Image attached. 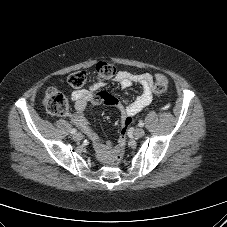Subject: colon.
I'll return each mask as SVG.
<instances>
[{
    "label": "colon",
    "instance_id": "obj_1",
    "mask_svg": "<svg viewBox=\"0 0 227 227\" xmlns=\"http://www.w3.org/2000/svg\"><path fill=\"white\" fill-rule=\"evenodd\" d=\"M116 68L114 65L108 62H99L96 65L95 76L97 81L103 82L115 77ZM87 76L84 71H77L69 76V84L75 88L79 89L83 87L86 83ZM168 88V80L162 74H157L155 76V83L153 86V92L157 95L163 94ZM44 106L46 110L56 116H65L68 114L70 106L67 97L55 88H50L47 90L44 97ZM132 119H128L125 123L124 129L119 137L120 144L117 147L113 155V163L119 165L124 157V132L127 127L131 124Z\"/></svg>",
    "mask_w": 227,
    "mask_h": 227
}]
</instances>
